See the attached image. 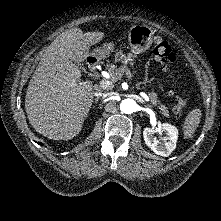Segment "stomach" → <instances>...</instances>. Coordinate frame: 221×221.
I'll return each instance as SVG.
<instances>
[{"instance_id":"1","label":"stomach","mask_w":221,"mask_h":221,"mask_svg":"<svg viewBox=\"0 0 221 221\" xmlns=\"http://www.w3.org/2000/svg\"><path fill=\"white\" fill-rule=\"evenodd\" d=\"M154 30L148 25H135L130 29L128 42L131 50L135 54L146 51L153 41ZM113 50L111 43L95 48L93 55L99 59L107 58Z\"/></svg>"}]
</instances>
